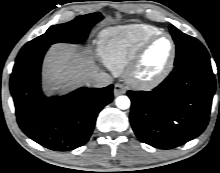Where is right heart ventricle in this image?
<instances>
[{
	"label": "right heart ventricle",
	"instance_id": "1",
	"mask_svg": "<svg viewBox=\"0 0 220 173\" xmlns=\"http://www.w3.org/2000/svg\"><path fill=\"white\" fill-rule=\"evenodd\" d=\"M160 30L147 24H129L104 30L99 38L102 62L113 72H124L138 47Z\"/></svg>",
	"mask_w": 220,
	"mask_h": 173
}]
</instances>
